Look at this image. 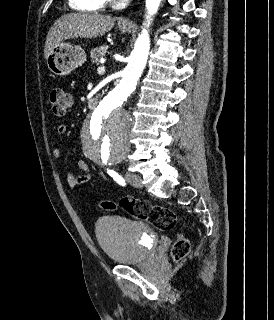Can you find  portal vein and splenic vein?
Instances as JSON below:
<instances>
[{
	"label": "portal vein and splenic vein",
	"instance_id": "portal-vein-and-splenic-vein-1",
	"mask_svg": "<svg viewBox=\"0 0 274 320\" xmlns=\"http://www.w3.org/2000/svg\"><path fill=\"white\" fill-rule=\"evenodd\" d=\"M101 70H105L104 66H101V68H98V72H101Z\"/></svg>",
	"mask_w": 274,
	"mask_h": 320
}]
</instances>
